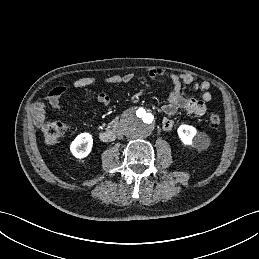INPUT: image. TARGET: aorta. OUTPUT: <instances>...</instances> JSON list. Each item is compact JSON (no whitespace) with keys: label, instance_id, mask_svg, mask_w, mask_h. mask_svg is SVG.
I'll use <instances>...</instances> for the list:
<instances>
[{"label":"aorta","instance_id":"762f6f07","mask_svg":"<svg viewBox=\"0 0 259 259\" xmlns=\"http://www.w3.org/2000/svg\"><path fill=\"white\" fill-rule=\"evenodd\" d=\"M155 126L153 113L147 108L133 109L121 120V128L130 139L148 137Z\"/></svg>","mask_w":259,"mask_h":259}]
</instances>
